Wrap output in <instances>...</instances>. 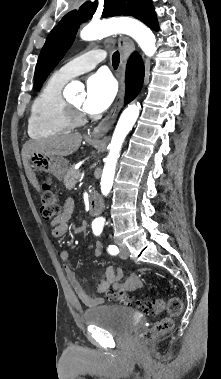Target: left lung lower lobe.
Returning a JSON list of instances; mask_svg holds the SVG:
<instances>
[{
  "mask_svg": "<svg viewBox=\"0 0 221 379\" xmlns=\"http://www.w3.org/2000/svg\"><path fill=\"white\" fill-rule=\"evenodd\" d=\"M140 20L154 30H156L158 28L157 19H156V15H155L153 6L150 7L144 13V15L141 17Z\"/></svg>",
  "mask_w": 221,
  "mask_h": 379,
  "instance_id": "1",
  "label": "left lung lower lobe"
}]
</instances>
